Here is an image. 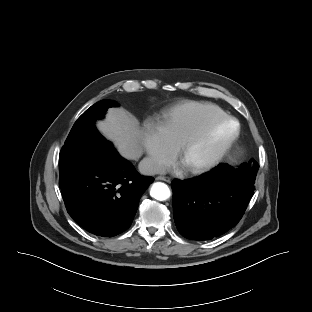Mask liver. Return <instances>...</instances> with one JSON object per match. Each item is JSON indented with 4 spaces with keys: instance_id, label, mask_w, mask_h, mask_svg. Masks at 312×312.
<instances>
[{
    "instance_id": "6515ba94",
    "label": "liver",
    "mask_w": 312,
    "mask_h": 312,
    "mask_svg": "<svg viewBox=\"0 0 312 312\" xmlns=\"http://www.w3.org/2000/svg\"><path fill=\"white\" fill-rule=\"evenodd\" d=\"M101 134L112 141L125 159L137 160L142 155L141 130L138 120L123 108H110L106 118L98 121Z\"/></svg>"
}]
</instances>
